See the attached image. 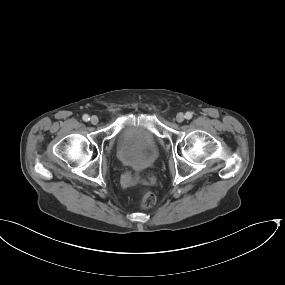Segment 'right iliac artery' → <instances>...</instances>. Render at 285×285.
<instances>
[{
	"label": "right iliac artery",
	"mask_w": 285,
	"mask_h": 285,
	"mask_svg": "<svg viewBox=\"0 0 285 285\" xmlns=\"http://www.w3.org/2000/svg\"><path fill=\"white\" fill-rule=\"evenodd\" d=\"M83 120L85 121V122H88L89 120H90V117H89V115H87V114H85V115H83Z\"/></svg>",
	"instance_id": "obj_1"
}]
</instances>
